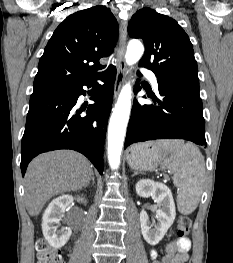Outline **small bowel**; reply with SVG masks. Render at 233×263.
I'll return each mask as SVG.
<instances>
[{"label": "small bowel", "mask_w": 233, "mask_h": 263, "mask_svg": "<svg viewBox=\"0 0 233 263\" xmlns=\"http://www.w3.org/2000/svg\"><path fill=\"white\" fill-rule=\"evenodd\" d=\"M172 234H168L170 237ZM191 240L188 237H179L166 246V254L158 259V253L155 249H150L149 259L151 263H186L191 250Z\"/></svg>", "instance_id": "small-bowel-1"}]
</instances>
